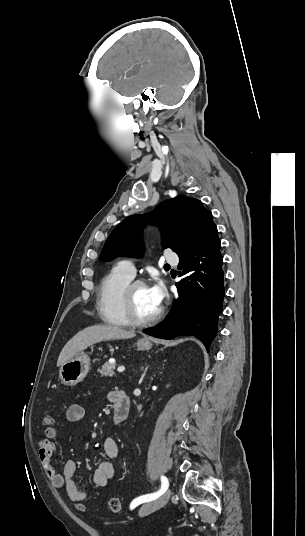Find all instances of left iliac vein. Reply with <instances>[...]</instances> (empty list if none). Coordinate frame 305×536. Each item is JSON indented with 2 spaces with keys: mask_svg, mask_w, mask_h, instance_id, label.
Wrapping results in <instances>:
<instances>
[{
  "mask_svg": "<svg viewBox=\"0 0 305 536\" xmlns=\"http://www.w3.org/2000/svg\"><path fill=\"white\" fill-rule=\"evenodd\" d=\"M170 497H171V490L168 489L160 497H158L157 499H155V500H153L151 502L143 504L139 509V515L140 516H146V515L154 512L155 510L163 507L168 502Z\"/></svg>",
  "mask_w": 305,
  "mask_h": 536,
  "instance_id": "1",
  "label": "left iliac vein"
}]
</instances>
